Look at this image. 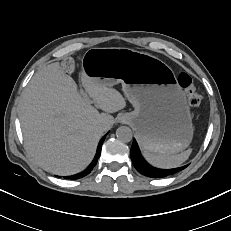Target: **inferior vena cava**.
<instances>
[{
	"instance_id": "obj_1",
	"label": "inferior vena cava",
	"mask_w": 231,
	"mask_h": 231,
	"mask_svg": "<svg viewBox=\"0 0 231 231\" xmlns=\"http://www.w3.org/2000/svg\"><path fill=\"white\" fill-rule=\"evenodd\" d=\"M100 129H101V130H104V129H105V126H104V125H101V126H100Z\"/></svg>"
}]
</instances>
